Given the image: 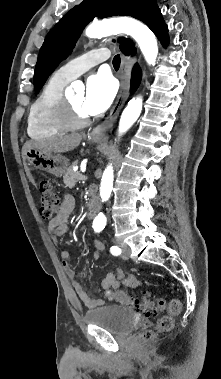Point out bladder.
I'll return each instance as SVG.
<instances>
[{"mask_svg":"<svg viewBox=\"0 0 221 379\" xmlns=\"http://www.w3.org/2000/svg\"><path fill=\"white\" fill-rule=\"evenodd\" d=\"M84 320L116 335L129 334L139 323L134 311L119 305H104L88 310L84 314Z\"/></svg>","mask_w":221,"mask_h":379,"instance_id":"obj_1","label":"bladder"}]
</instances>
